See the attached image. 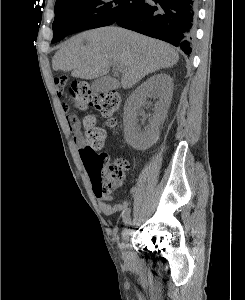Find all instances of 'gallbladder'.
Segmentation results:
<instances>
[{
    "instance_id": "gallbladder-1",
    "label": "gallbladder",
    "mask_w": 245,
    "mask_h": 300,
    "mask_svg": "<svg viewBox=\"0 0 245 300\" xmlns=\"http://www.w3.org/2000/svg\"><path fill=\"white\" fill-rule=\"evenodd\" d=\"M117 87L118 81L107 75L96 78L91 85V88L95 93L107 92Z\"/></svg>"
}]
</instances>
